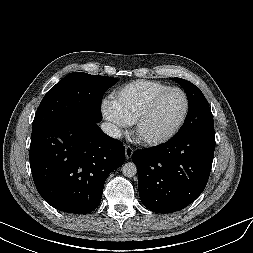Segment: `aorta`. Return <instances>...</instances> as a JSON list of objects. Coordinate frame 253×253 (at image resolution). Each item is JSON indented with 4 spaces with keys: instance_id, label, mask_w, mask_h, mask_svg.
<instances>
[{
    "instance_id": "1",
    "label": "aorta",
    "mask_w": 253,
    "mask_h": 253,
    "mask_svg": "<svg viewBox=\"0 0 253 253\" xmlns=\"http://www.w3.org/2000/svg\"><path fill=\"white\" fill-rule=\"evenodd\" d=\"M122 173L125 177L131 178L136 175L137 167L133 162L125 163L122 166Z\"/></svg>"
}]
</instances>
